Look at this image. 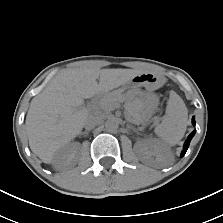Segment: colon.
<instances>
[{
	"label": "colon",
	"instance_id": "1",
	"mask_svg": "<svg viewBox=\"0 0 223 223\" xmlns=\"http://www.w3.org/2000/svg\"><path fill=\"white\" fill-rule=\"evenodd\" d=\"M184 150H183V148H180V150H179V154L181 155V156H183L184 155Z\"/></svg>",
	"mask_w": 223,
	"mask_h": 223
}]
</instances>
